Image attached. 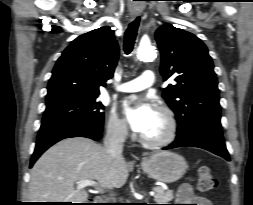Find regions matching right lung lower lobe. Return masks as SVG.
I'll use <instances>...</instances> for the list:
<instances>
[{
	"label": "right lung lower lobe",
	"mask_w": 253,
	"mask_h": 205,
	"mask_svg": "<svg viewBox=\"0 0 253 205\" xmlns=\"http://www.w3.org/2000/svg\"><path fill=\"white\" fill-rule=\"evenodd\" d=\"M103 123H91L70 119L44 120L41 123L30 167L40 155L56 142L70 137H86L95 141L102 137Z\"/></svg>",
	"instance_id": "obj_1"
}]
</instances>
